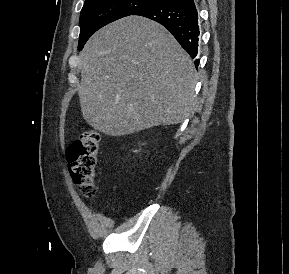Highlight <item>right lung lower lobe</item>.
<instances>
[{"mask_svg":"<svg viewBox=\"0 0 289 274\" xmlns=\"http://www.w3.org/2000/svg\"><path fill=\"white\" fill-rule=\"evenodd\" d=\"M133 15L147 17L162 24L192 58L196 57L199 25L194 0H159ZM194 63L197 67L199 60Z\"/></svg>","mask_w":289,"mask_h":274,"instance_id":"obj_1","label":"right lung lower lobe"}]
</instances>
